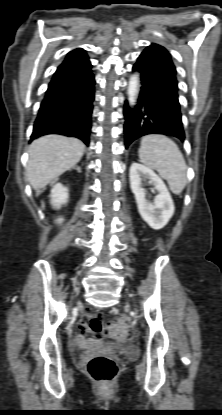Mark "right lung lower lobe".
I'll return each instance as SVG.
<instances>
[{"instance_id":"1","label":"right lung lower lobe","mask_w":222,"mask_h":415,"mask_svg":"<svg viewBox=\"0 0 222 415\" xmlns=\"http://www.w3.org/2000/svg\"><path fill=\"white\" fill-rule=\"evenodd\" d=\"M85 51H72L58 66L41 102L31 140L63 134L89 145L94 75Z\"/></svg>"}]
</instances>
